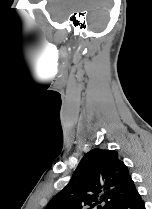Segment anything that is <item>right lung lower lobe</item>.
Segmentation results:
<instances>
[{
	"mask_svg": "<svg viewBox=\"0 0 152 209\" xmlns=\"http://www.w3.org/2000/svg\"><path fill=\"white\" fill-rule=\"evenodd\" d=\"M112 209H145L144 202L134 187L129 194Z\"/></svg>",
	"mask_w": 152,
	"mask_h": 209,
	"instance_id": "98d812e1",
	"label": "right lung lower lobe"
}]
</instances>
